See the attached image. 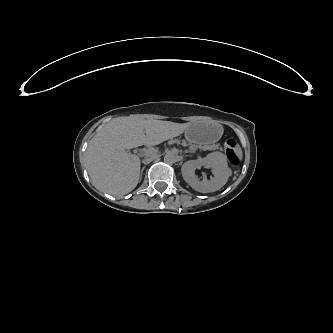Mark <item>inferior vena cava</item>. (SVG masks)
Instances as JSON below:
<instances>
[{
	"mask_svg": "<svg viewBox=\"0 0 333 333\" xmlns=\"http://www.w3.org/2000/svg\"><path fill=\"white\" fill-rule=\"evenodd\" d=\"M156 157H157V155H153V156H151V157H149V158H147V159H144L142 162H143L144 164H149V163L152 162Z\"/></svg>",
	"mask_w": 333,
	"mask_h": 333,
	"instance_id": "obj_1",
	"label": "inferior vena cava"
}]
</instances>
